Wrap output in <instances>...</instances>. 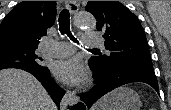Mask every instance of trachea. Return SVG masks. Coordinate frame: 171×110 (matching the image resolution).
Instances as JSON below:
<instances>
[{
  "label": "trachea",
  "instance_id": "3493384b",
  "mask_svg": "<svg viewBox=\"0 0 171 110\" xmlns=\"http://www.w3.org/2000/svg\"><path fill=\"white\" fill-rule=\"evenodd\" d=\"M59 30L61 34H66L73 41L78 43L77 39L72 35L70 31V13L68 9H63L59 15ZM99 50V49H92Z\"/></svg>",
  "mask_w": 171,
  "mask_h": 110
}]
</instances>
